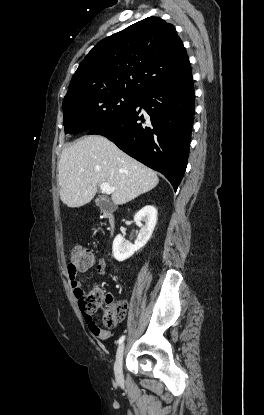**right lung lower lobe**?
Masks as SVG:
<instances>
[{
  "instance_id": "1",
  "label": "right lung lower lobe",
  "mask_w": 264,
  "mask_h": 415,
  "mask_svg": "<svg viewBox=\"0 0 264 415\" xmlns=\"http://www.w3.org/2000/svg\"><path fill=\"white\" fill-rule=\"evenodd\" d=\"M194 109L190 73L144 91L131 110L91 129L88 135L107 137L131 157L162 173L176 191L187 167Z\"/></svg>"
}]
</instances>
